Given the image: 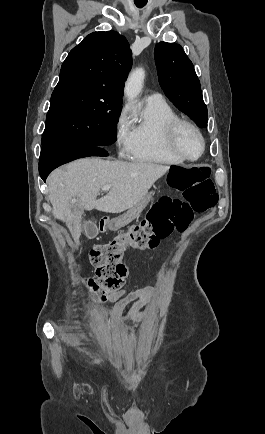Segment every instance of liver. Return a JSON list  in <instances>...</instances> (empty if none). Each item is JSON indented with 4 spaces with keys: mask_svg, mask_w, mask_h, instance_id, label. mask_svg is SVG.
Returning <instances> with one entry per match:
<instances>
[{
    "mask_svg": "<svg viewBox=\"0 0 265 434\" xmlns=\"http://www.w3.org/2000/svg\"><path fill=\"white\" fill-rule=\"evenodd\" d=\"M170 166L150 162H109L101 158L75 160L50 174L47 184L52 214L66 222L74 242H78L84 210H100L120 214L133 208ZM103 186H112L106 196L96 200ZM70 200H78L70 204Z\"/></svg>",
    "mask_w": 265,
    "mask_h": 434,
    "instance_id": "1",
    "label": "liver"
}]
</instances>
